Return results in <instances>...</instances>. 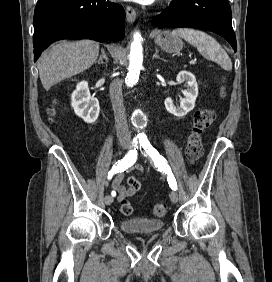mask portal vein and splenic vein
I'll list each match as a JSON object with an SVG mask.
<instances>
[{"mask_svg":"<svg viewBox=\"0 0 272 282\" xmlns=\"http://www.w3.org/2000/svg\"><path fill=\"white\" fill-rule=\"evenodd\" d=\"M196 61H197V59L194 58V59H192V60L190 61V64H194V63H196Z\"/></svg>","mask_w":272,"mask_h":282,"instance_id":"18ae733b","label":"portal vein and splenic vein"}]
</instances>
